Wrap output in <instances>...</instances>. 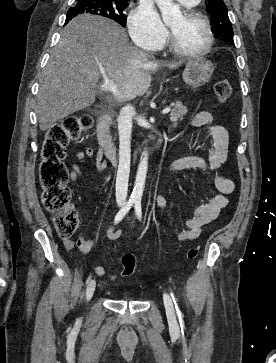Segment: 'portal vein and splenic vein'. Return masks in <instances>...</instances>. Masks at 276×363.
Here are the masks:
<instances>
[{
	"label": "portal vein and splenic vein",
	"instance_id": "obj_1",
	"mask_svg": "<svg viewBox=\"0 0 276 363\" xmlns=\"http://www.w3.org/2000/svg\"><path fill=\"white\" fill-rule=\"evenodd\" d=\"M103 80H104V82L101 84L100 89L109 91L113 95H115L117 98H120V93H119L117 85L113 81H111L106 75H103ZM170 111H171V108L166 107L165 109H163L162 114H167Z\"/></svg>",
	"mask_w": 276,
	"mask_h": 363
}]
</instances>
